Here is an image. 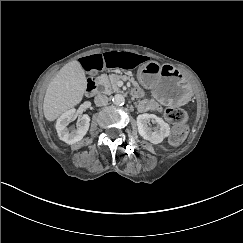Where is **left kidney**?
<instances>
[{
	"label": "left kidney",
	"mask_w": 243,
	"mask_h": 243,
	"mask_svg": "<svg viewBox=\"0 0 243 243\" xmlns=\"http://www.w3.org/2000/svg\"><path fill=\"white\" fill-rule=\"evenodd\" d=\"M150 119H153L158 127L152 131L148 127V122ZM137 127L140 136L145 140L150 141L153 144H158L163 141L165 137H168L170 134L169 124L166 123L162 118L157 117L154 114H141L137 116Z\"/></svg>",
	"instance_id": "obj_1"
}]
</instances>
